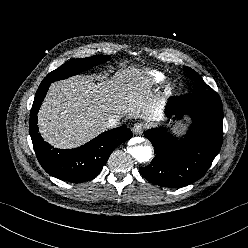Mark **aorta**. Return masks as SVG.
Masks as SVG:
<instances>
[{
    "mask_svg": "<svg viewBox=\"0 0 248 248\" xmlns=\"http://www.w3.org/2000/svg\"><path fill=\"white\" fill-rule=\"evenodd\" d=\"M134 142H142L140 138H135ZM129 154L140 163L148 162L152 157V149L149 145H135L129 148Z\"/></svg>",
    "mask_w": 248,
    "mask_h": 248,
    "instance_id": "762f6f07",
    "label": "aorta"
}]
</instances>
